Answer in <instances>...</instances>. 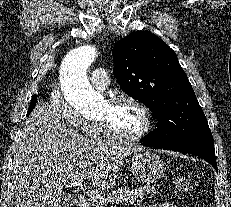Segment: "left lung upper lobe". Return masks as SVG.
I'll return each mask as SVG.
<instances>
[{
	"label": "left lung upper lobe",
	"instance_id": "obj_1",
	"mask_svg": "<svg viewBox=\"0 0 231 207\" xmlns=\"http://www.w3.org/2000/svg\"><path fill=\"white\" fill-rule=\"evenodd\" d=\"M112 55L120 88L149 107L159 121L144 139L161 146L213 139L175 52L159 37L135 32L121 39Z\"/></svg>",
	"mask_w": 231,
	"mask_h": 207
}]
</instances>
